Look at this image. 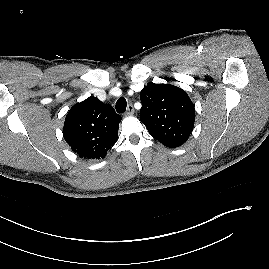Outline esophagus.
<instances>
[{
	"mask_svg": "<svg viewBox=\"0 0 269 269\" xmlns=\"http://www.w3.org/2000/svg\"><path fill=\"white\" fill-rule=\"evenodd\" d=\"M126 115H133L134 114V108L131 104H129L127 106V109H126V112H125Z\"/></svg>",
	"mask_w": 269,
	"mask_h": 269,
	"instance_id": "34e87169",
	"label": "esophagus"
}]
</instances>
